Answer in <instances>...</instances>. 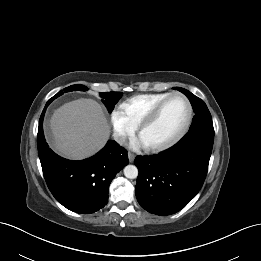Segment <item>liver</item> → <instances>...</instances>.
I'll list each match as a JSON object with an SVG mask.
<instances>
[{
    "mask_svg": "<svg viewBox=\"0 0 261 261\" xmlns=\"http://www.w3.org/2000/svg\"><path fill=\"white\" fill-rule=\"evenodd\" d=\"M54 147L62 155L80 160L104 147L110 127L101 106L92 99H78L58 108L50 121Z\"/></svg>",
    "mask_w": 261,
    "mask_h": 261,
    "instance_id": "obj_1",
    "label": "liver"
}]
</instances>
